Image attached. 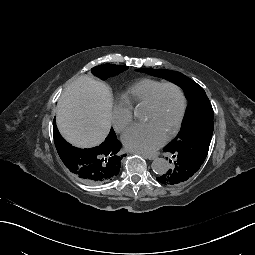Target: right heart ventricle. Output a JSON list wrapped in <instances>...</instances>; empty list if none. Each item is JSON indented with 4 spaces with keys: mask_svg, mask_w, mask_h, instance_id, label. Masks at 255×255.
<instances>
[{
    "mask_svg": "<svg viewBox=\"0 0 255 255\" xmlns=\"http://www.w3.org/2000/svg\"><path fill=\"white\" fill-rule=\"evenodd\" d=\"M161 83V81L155 79H142L122 93L118 103L131 111L140 105H146L154 89Z\"/></svg>",
    "mask_w": 255,
    "mask_h": 255,
    "instance_id": "1",
    "label": "right heart ventricle"
}]
</instances>
